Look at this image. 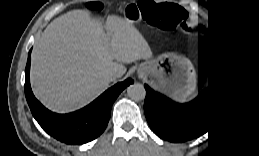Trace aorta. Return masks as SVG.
<instances>
[{
	"instance_id": "aorta-1",
	"label": "aorta",
	"mask_w": 259,
	"mask_h": 156,
	"mask_svg": "<svg viewBox=\"0 0 259 156\" xmlns=\"http://www.w3.org/2000/svg\"><path fill=\"white\" fill-rule=\"evenodd\" d=\"M127 94L131 99L141 101L145 99L146 91L142 84L135 83L127 88Z\"/></svg>"
}]
</instances>
